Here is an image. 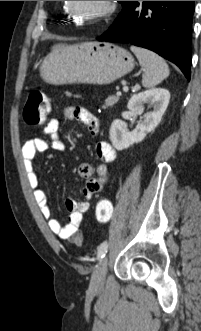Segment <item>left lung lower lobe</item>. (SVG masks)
I'll return each instance as SVG.
<instances>
[{"label":"left lung lower lobe","instance_id":"obj_1","mask_svg":"<svg viewBox=\"0 0 201 331\" xmlns=\"http://www.w3.org/2000/svg\"><path fill=\"white\" fill-rule=\"evenodd\" d=\"M99 41L130 43L175 63L190 80L194 1H124Z\"/></svg>","mask_w":201,"mask_h":331}]
</instances>
